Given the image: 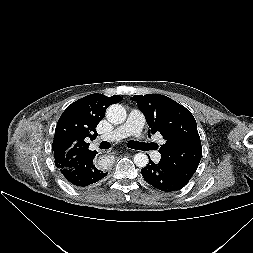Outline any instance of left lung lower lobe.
<instances>
[{"instance_id": "obj_1", "label": "left lung lower lobe", "mask_w": 253, "mask_h": 253, "mask_svg": "<svg viewBox=\"0 0 253 253\" xmlns=\"http://www.w3.org/2000/svg\"><path fill=\"white\" fill-rule=\"evenodd\" d=\"M141 174L150 185L165 192L182 189L188 181L174 174L167 166L159 162L153 163L141 169Z\"/></svg>"}]
</instances>
